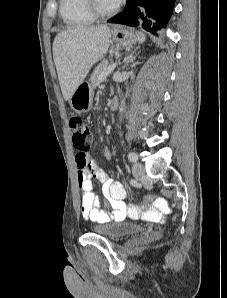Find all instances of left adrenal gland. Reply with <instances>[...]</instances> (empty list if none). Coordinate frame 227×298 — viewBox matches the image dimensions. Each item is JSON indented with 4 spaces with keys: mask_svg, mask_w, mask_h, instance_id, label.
<instances>
[{
    "mask_svg": "<svg viewBox=\"0 0 227 298\" xmlns=\"http://www.w3.org/2000/svg\"><path fill=\"white\" fill-rule=\"evenodd\" d=\"M138 48L139 47H137L136 49H134L129 55H127L125 57V60H124L125 65H128L129 63L133 62V60L136 59L137 55L140 53V52H138L136 54V51L138 50Z\"/></svg>",
    "mask_w": 227,
    "mask_h": 298,
    "instance_id": "a2214340",
    "label": "left adrenal gland"
}]
</instances>
